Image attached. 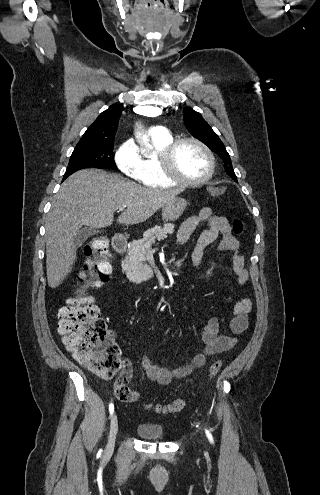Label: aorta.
Returning <instances> with one entry per match:
<instances>
[{
  "instance_id": "obj_1",
  "label": "aorta",
  "mask_w": 320,
  "mask_h": 495,
  "mask_svg": "<svg viewBox=\"0 0 320 495\" xmlns=\"http://www.w3.org/2000/svg\"><path fill=\"white\" fill-rule=\"evenodd\" d=\"M145 110L150 114V115H156L158 112H159V109L157 107H152V106H149V107H146ZM135 135H136V138L138 140L139 143L140 142V133L138 131L135 132Z\"/></svg>"
}]
</instances>
